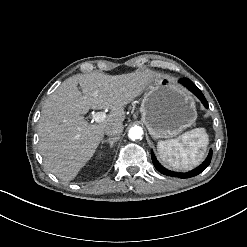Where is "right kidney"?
I'll return each instance as SVG.
<instances>
[{
    "label": "right kidney",
    "mask_w": 247,
    "mask_h": 247,
    "mask_svg": "<svg viewBox=\"0 0 247 247\" xmlns=\"http://www.w3.org/2000/svg\"><path fill=\"white\" fill-rule=\"evenodd\" d=\"M102 155H103V151L101 150V151H99V152L96 154V156H95V161L100 160L101 157H102Z\"/></svg>",
    "instance_id": "right-kidney-1"
}]
</instances>
